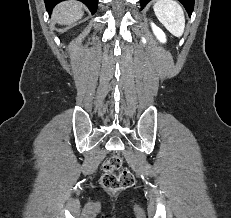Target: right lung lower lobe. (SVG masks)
<instances>
[{
	"mask_svg": "<svg viewBox=\"0 0 231 218\" xmlns=\"http://www.w3.org/2000/svg\"><path fill=\"white\" fill-rule=\"evenodd\" d=\"M45 4H46V8L49 12H51L52 8L61 1H65V0H44ZM83 2L85 5H87V7L90 9V11L92 13H95L97 10V3L98 0H78Z\"/></svg>",
	"mask_w": 231,
	"mask_h": 218,
	"instance_id": "obj_1",
	"label": "right lung lower lobe"
}]
</instances>
